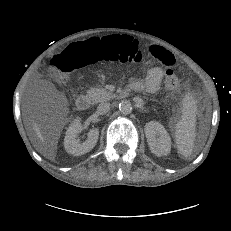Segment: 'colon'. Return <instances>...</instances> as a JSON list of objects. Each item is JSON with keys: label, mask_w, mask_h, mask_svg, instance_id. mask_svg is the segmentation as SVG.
<instances>
[{"label": "colon", "mask_w": 231, "mask_h": 231, "mask_svg": "<svg viewBox=\"0 0 231 231\" xmlns=\"http://www.w3.org/2000/svg\"><path fill=\"white\" fill-rule=\"evenodd\" d=\"M143 55L138 42L128 35L93 38L87 42L74 43L51 60V67L66 76L74 70L99 61L138 64ZM165 87L176 91L180 80L175 71L166 70Z\"/></svg>", "instance_id": "5ec220e1"}]
</instances>
